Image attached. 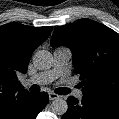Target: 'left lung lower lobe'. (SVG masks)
<instances>
[{"label": "left lung lower lobe", "mask_w": 119, "mask_h": 119, "mask_svg": "<svg viewBox=\"0 0 119 119\" xmlns=\"http://www.w3.org/2000/svg\"><path fill=\"white\" fill-rule=\"evenodd\" d=\"M68 110L62 119H119V107L83 96L68 97Z\"/></svg>", "instance_id": "0a47b994"}]
</instances>
